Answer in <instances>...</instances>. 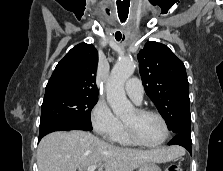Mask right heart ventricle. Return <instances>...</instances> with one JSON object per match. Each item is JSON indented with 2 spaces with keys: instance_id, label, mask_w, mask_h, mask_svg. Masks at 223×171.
<instances>
[{
  "instance_id": "right-heart-ventricle-1",
  "label": "right heart ventricle",
  "mask_w": 223,
  "mask_h": 171,
  "mask_svg": "<svg viewBox=\"0 0 223 171\" xmlns=\"http://www.w3.org/2000/svg\"><path fill=\"white\" fill-rule=\"evenodd\" d=\"M115 143L122 145V146H131L133 143L127 138L123 127L121 128L120 132L116 136V138L113 140Z\"/></svg>"
}]
</instances>
